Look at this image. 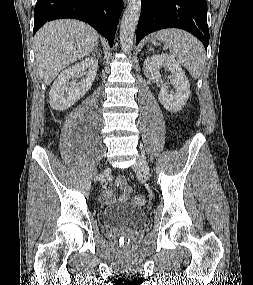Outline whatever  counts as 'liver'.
<instances>
[{
	"label": "liver",
	"instance_id": "obj_1",
	"mask_svg": "<svg viewBox=\"0 0 253 285\" xmlns=\"http://www.w3.org/2000/svg\"><path fill=\"white\" fill-rule=\"evenodd\" d=\"M99 34L90 25L73 19L46 23L34 37L40 77L50 85L60 71L98 46Z\"/></svg>",
	"mask_w": 253,
	"mask_h": 285
}]
</instances>
